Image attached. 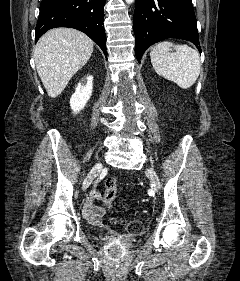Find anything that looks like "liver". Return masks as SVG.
I'll list each match as a JSON object with an SVG mask.
<instances>
[{"label": "liver", "mask_w": 240, "mask_h": 281, "mask_svg": "<svg viewBox=\"0 0 240 281\" xmlns=\"http://www.w3.org/2000/svg\"><path fill=\"white\" fill-rule=\"evenodd\" d=\"M93 41L71 28H55L46 32L34 48L38 75L51 98L62 93L70 79L89 60Z\"/></svg>", "instance_id": "obj_1"}]
</instances>
